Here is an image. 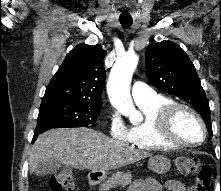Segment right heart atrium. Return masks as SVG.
<instances>
[{"label": "right heart atrium", "mask_w": 221, "mask_h": 191, "mask_svg": "<svg viewBox=\"0 0 221 191\" xmlns=\"http://www.w3.org/2000/svg\"><path fill=\"white\" fill-rule=\"evenodd\" d=\"M109 132L112 137L119 140H126L128 134V128L122 121L119 114L115 111H111L108 115Z\"/></svg>", "instance_id": "1"}]
</instances>
